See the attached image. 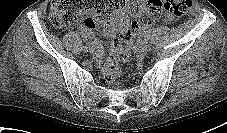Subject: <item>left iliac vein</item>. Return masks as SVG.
Returning a JSON list of instances; mask_svg holds the SVG:
<instances>
[{
    "mask_svg": "<svg viewBox=\"0 0 227 133\" xmlns=\"http://www.w3.org/2000/svg\"><path fill=\"white\" fill-rule=\"evenodd\" d=\"M147 48L144 46V47H141L138 49L137 51V55L140 57V58H143L145 57V55L147 54Z\"/></svg>",
    "mask_w": 227,
    "mask_h": 133,
    "instance_id": "1",
    "label": "left iliac vein"
}]
</instances>
